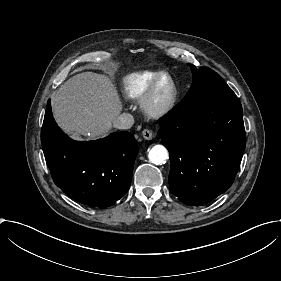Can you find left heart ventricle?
Listing matches in <instances>:
<instances>
[{
    "label": "left heart ventricle",
    "instance_id": "1",
    "mask_svg": "<svg viewBox=\"0 0 281 281\" xmlns=\"http://www.w3.org/2000/svg\"><path fill=\"white\" fill-rule=\"evenodd\" d=\"M171 91V83L169 80H164L158 87L156 97L159 101H164Z\"/></svg>",
    "mask_w": 281,
    "mask_h": 281
}]
</instances>
